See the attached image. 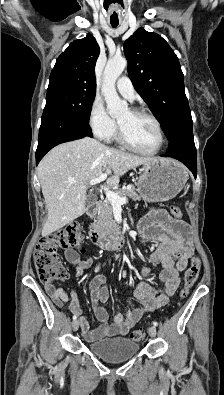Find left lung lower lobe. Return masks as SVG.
<instances>
[{"label": "left lung lower lobe", "instance_id": "0a47b994", "mask_svg": "<svg viewBox=\"0 0 224 395\" xmlns=\"http://www.w3.org/2000/svg\"><path fill=\"white\" fill-rule=\"evenodd\" d=\"M193 122L191 116L178 123L175 133L168 138L170 145L167 157L175 158L184 163L193 173L197 175L196 148L194 145Z\"/></svg>", "mask_w": 224, "mask_h": 395}]
</instances>
